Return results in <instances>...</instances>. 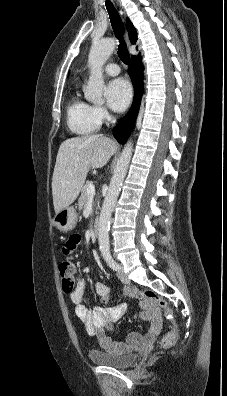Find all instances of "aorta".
I'll return each instance as SVG.
<instances>
[{
	"label": "aorta",
	"mask_w": 227,
	"mask_h": 396,
	"mask_svg": "<svg viewBox=\"0 0 227 396\" xmlns=\"http://www.w3.org/2000/svg\"><path fill=\"white\" fill-rule=\"evenodd\" d=\"M114 48L115 40L113 38L96 40L92 43L88 57V64L91 73L88 85L84 90V95L87 100H90L94 103L102 102V92L104 87L102 67L114 51ZM132 152V142H127L119 157L114 174L109 184L107 195L103 202L102 210L99 217L98 233V241L101 252H108L110 249V218L119 192L121 190L124 178L127 174V170L132 157Z\"/></svg>",
	"instance_id": "obj_1"
}]
</instances>
